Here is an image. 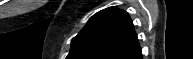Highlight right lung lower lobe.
Masks as SVG:
<instances>
[{"instance_id":"1","label":"right lung lower lobe","mask_w":193,"mask_h":59,"mask_svg":"<svg viewBox=\"0 0 193 59\" xmlns=\"http://www.w3.org/2000/svg\"><path fill=\"white\" fill-rule=\"evenodd\" d=\"M128 59H142V53L141 50L136 52L135 54L131 55Z\"/></svg>"}]
</instances>
